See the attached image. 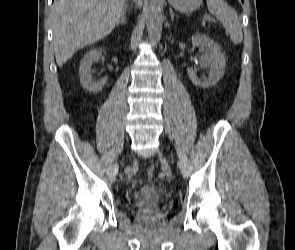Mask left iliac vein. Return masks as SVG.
I'll return each mask as SVG.
<instances>
[{
    "label": "left iliac vein",
    "mask_w": 295,
    "mask_h": 250,
    "mask_svg": "<svg viewBox=\"0 0 295 250\" xmlns=\"http://www.w3.org/2000/svg\"><path fill=\"white\" fill-rule=\"evenodd\" d=\"M161 159H162L163 169H164L166 175L168 177H171L172 173H171L170 167H169L166 159L162 155H161Z\"/></svg>",
    "instance_id": "4c4485c4"
}]
</instances>
